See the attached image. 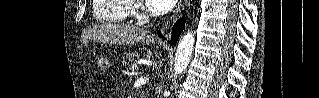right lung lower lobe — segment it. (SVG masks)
Listing matches in <instances>:
<instances>
[{
	"label": "right lung lower lobe",
	"mask_w": 319,
	"mask_h": 98,
	"mask_svg": "<svg viewBox=\"0 0 319 98\" xmlns=\"http://www.w3.org/2000/svg\"><path fill=\"white\" fill-rule=\"evenodd\" d=\"M185 25V20L184 19H180L178 20V22L174 25L173 27V33H172V41H170L171 45H175L177 39L179 38L180 33L182 32L183 28ZM158 35L160 37L163 38V36L161 35L160 31H158Z\"/></svg>",
	"instance_id": "right-lung-lower-lobe-1"
}]
</instances>
